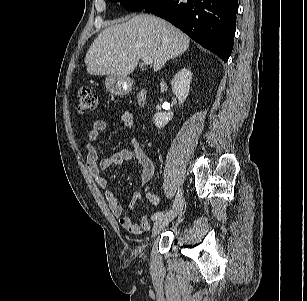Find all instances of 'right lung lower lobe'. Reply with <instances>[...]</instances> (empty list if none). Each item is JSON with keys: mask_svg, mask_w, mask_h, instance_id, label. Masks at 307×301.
<instances>
[{"mask_svg": "<svg viewBox=\"0 0 307 301\" xmlns=\"http://www.w3.org/2000/svg\"><path fill=\"white\" fill-rule=\"evenodd\" d=\"M144 10L171 22L223 61L231 55L237 0H158Z\"/></svg>", "mask_w": 307, "mask_h": 301, "instance_id": "obj_1", "label": "right lung lower lobe"}]
</instances>
